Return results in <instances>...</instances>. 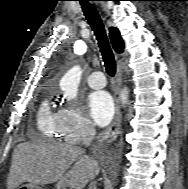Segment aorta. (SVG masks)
<instances>
[{"label": "aorta", "instance_id": "762f6f07", "mask_svg": "<svg viewBox=\"0 0 188 189\" xmlns=\"http://www.w3.org/2000/svg\"><path fill=\"white\" fill-rule=\"evenodd\" d=\"M82 70L80 66H74L71 68L60 81V88L63 90L65 96L72 100L76 97L78 86L81 80ZM128 91L124 88L121 92V101L123 104L127 103Z\"/></svg>", "mask_w": 188, "mask_h": 189}]
</instances>
